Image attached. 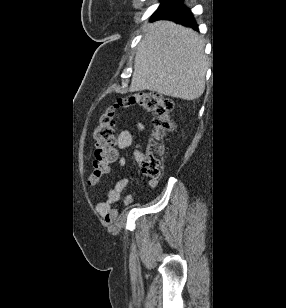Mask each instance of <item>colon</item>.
Masks as SVG:
<instances>
[{"label":"colon","mask_w":286,"mask_h":308,"mask_svg":"<svg viewBox=\"0 0 286 308\" xmlns=\"http://www.w3.org/2000/svg\"><path fill=\"white\" fill-rule=\"evenodd\" d=\"M138 107L152 115L153 134L144 157L141 160L143 173L151 179H158L162 174V147L158 140L174 128L170 118L173 102L161 94L141 91L119 98L100 117L94 131L95 159L89 175V184H98L109 171L110 164L116 159L115 119L117 111Z\"/></svg>","instance_id":"1"}]
</instances>
